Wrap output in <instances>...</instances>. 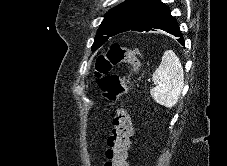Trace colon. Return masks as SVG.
I'll return each instance as SVG.
<instances>
[{
    "label": "colon",
    "mask_w": 227,
    "mask_h": 166,
    "mask_svg": "<svg viewBox=\"0 0 227 166\" xmlns=\"http://www.w3.org/2000/svg\"><path fill=\"white\" fill-rule=\"evenodd\" d=\"M120 63L128 64L133 71H137L141 65V56L114 42L97 58L95 64L99 86L107 100V109L113 114V130L107 139L104 166H127V155L133 135L130 115L118 104L119 97L128 88L130 76H120L111 72L112 66Z\"/></svg>",
    "instance_id": "5ec220e1"
}]
</instances>
